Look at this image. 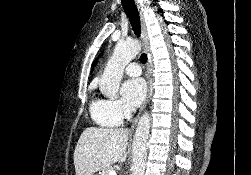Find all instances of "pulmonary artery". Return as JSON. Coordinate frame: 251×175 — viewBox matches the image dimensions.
<instances>
[{"mask_svg": "<svg viewBox=\"0 0 251 175\" xmlns=\"http://www.w3.org/2000/svg\"><path fill=\"white\" fill-rule=\"evenodd\" d=\"M125 72L128 75L137 76V75H140L142 73V69H141L140 65L137 62L133 61L128 66H126Z\"/></svg>", "mask_w": 251, "mask_h": 175, "instance_id": "e3ab8cb5", "label": "pulmonary artery"}]
</instances>
